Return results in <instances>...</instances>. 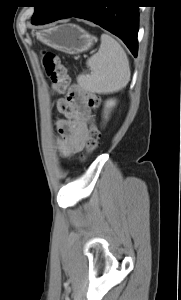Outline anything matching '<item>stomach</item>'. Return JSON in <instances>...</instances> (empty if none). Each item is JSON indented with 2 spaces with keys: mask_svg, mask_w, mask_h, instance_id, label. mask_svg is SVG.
<instances>
[{
  "mask_svg": "<svg viewBox=\"0 0 181 300\" xmlns=\"http://www.w3.org/2000/svg\"><path fill=\"white\" fill-rule=\"evenodd\" d=\"M37 39L58 51L75 55L88 51L95 38L75 24H62L37 33Z\"/></svg>",
  "mask_w": 181,
  "mask_h": 300,
  "instance_id": "1",
  "label": "stomach"
}]
</instances>
